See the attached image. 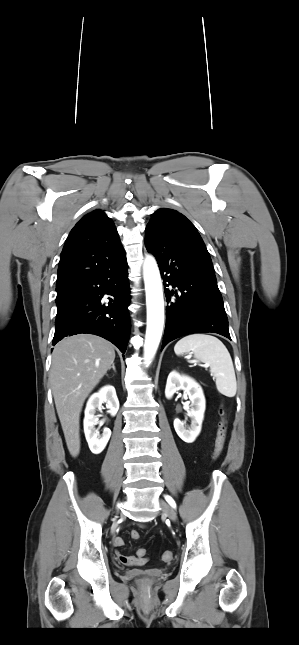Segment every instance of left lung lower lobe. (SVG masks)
<instances>
[{
    "mask_svg": "<svg viewBox=\"0 0 299 645\" xmlns=\"http://www.w3.org/2000/svg\"><path fill=\"white\" fill-rule=\"evenodd\" d=\"M146 248L159 264L169 306L162 349L192 333H218L231 340L213 264L200 235L180 229L149 232Z\"/></svg>",
    "mask_w": 299,
    "mask_h": 645,
    "instance_id": "left-lung-lower-lobe-1",
    "label": "left lung lower lobe"
}]
</instances>
